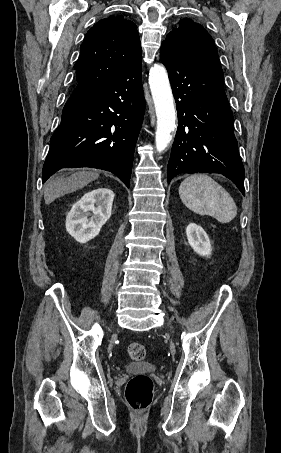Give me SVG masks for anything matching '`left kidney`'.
<instances>
[{
    "instance_id": "1",
    "label": "left kidney",
    "mask_w": 281,
    "mask_h": 453,
    "mask_svg": "<svg viewBox=\"0 0 281 453\" xmlns=\"http://www.w3.org/2000/svg\"><path fill=\"white\" fill-rule=\"evenodd\" d=\"M186 235L190 247H192L197 255H201V257H209L211 255L212 247L210 239L204 229L199 227V224L190 222L186 229Z\"/></svg>"
}]
</instances>
